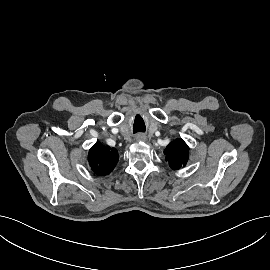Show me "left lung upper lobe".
Instances as JSON below:
<instances>
[{
  "mask_svg": "<svg viewBox=\"0 0 270 270\" xmlns=\"http://www.w3.org/2000/svg\"><path fill=\"white\" fill-rule=\"evenodd\" d=\"M166 160L172 169H179L186 165L189 157V147L182 139L172 141L164 150Z\"/></svg>",
  "mask_w": 270,
  "mask_h": 270,
  "instance_id": "1",
  "label": "left lung upper lobe"
}]
</instances>
